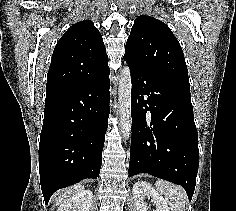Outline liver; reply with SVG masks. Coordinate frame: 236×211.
I'll list each match as a JSON object with an SVG mask.
<instances>
[{
    "label": "liver",
    "instance_id": "liver-1",
    "mask_svg": "<svg viewBox=\"0 0 236 211\" xmlns=\"http://www.w3.org/2000/svg\"><path fill=\"white\" fill-rule=\"evenodd\" d=\"M83 190L84 186L78 184L57 192L53 198L55 205L61 206L68 198L76 195Z\"/></svg>",
    "mask_w": 236,
    "mask_h": 211
}]
</instances>
